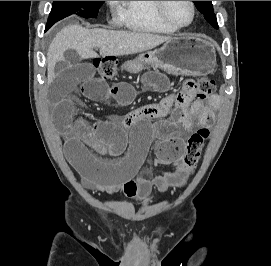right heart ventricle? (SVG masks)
<instances>
[{"label": "right heart ventricle", "mask_w": 271, "mask_h": 266, "mask_svg": "<svg viewBox=\"0 0 271 266\" xmlns=\"http://www.w3.org/2000/svg\"><path fill=\"white\" fill-rule=\"evenodd\" d=\"M121 23L140 32L172 34L177 30L158 14L156 1H116Z\"/></svg>", "instance_id": "1"}]
</instances>
